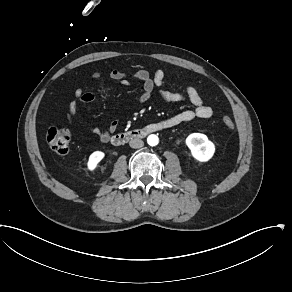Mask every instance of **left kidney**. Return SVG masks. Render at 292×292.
I'll use <instances>...</instances> for the list:
<instances>
[{"label":"left kidney","mask_w":292,"mask_h":292,"mask_svg":"<svg viewBox=\"0 0 292 292\" xmlns=\"http://www.w3.org/2000/svg\"><path fill=\"white\" fill-rule=\"evenodd\" d=\"M186 144L193 157L200 162H206L211 159L215 151L214 144L206 135L201 133L190 134L186 139Z\"/></svg>","instance_id":"5707ae66"}]
</instances>
